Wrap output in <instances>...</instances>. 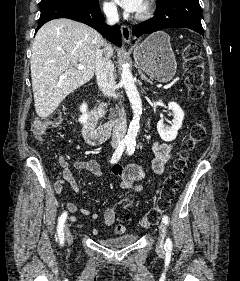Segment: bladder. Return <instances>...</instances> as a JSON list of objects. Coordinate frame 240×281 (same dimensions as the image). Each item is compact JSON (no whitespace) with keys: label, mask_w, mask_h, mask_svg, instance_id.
<instances>
[{"label":"bladder","mask_w":240,"mask_h":281,"mask_svg":"<svg viewBox=\"0 0 240 281\" xmlns=\"http://www.w3.org/2000/svg\"><path fill=\"white\" fill-rule=\"evenodd\" d=\"M137 239L136 234L129 233L121 237L101 240L100 244L107 248L120 249L133 245Z\"/></svg>","instance_id":"31cf9c89"}]
</instances>
